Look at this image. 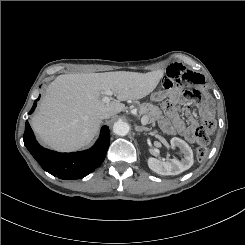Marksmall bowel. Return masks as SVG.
Masks as SVG:
<instances>
[{"mask_svg":"<svg viewBox=\"0 0 245 245\" xmlns=\"http://www.w3.org/2000/svg\"><path fill=\"white\" fill-rule=\"evenodd\" d=\"M165 89L171 90L173 95H177L178 92L174 90L175 87L181 88L184 91V98L187 101L193 103H200L203 101L204 93L198 89H192L193 86L203 88L205 86L204 77L191 70L186 69L182 65L170 66L164 74L162 81ZM213 113L212 108L209 105L201 107V115L203 117H209ZM188 125H184L179 118L177 112L168 114L160 120V125L164 131L170 134H180L184 136L188 141H193V131L198 125V120L187 111Z\"/></svg>","mask_w":245,"mask_h":245,"instance_id":"small-bowel-1","label":"small bowel"}]
</instances>
